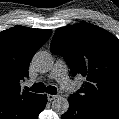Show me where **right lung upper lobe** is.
<instances>
[{"label": "right lung upper lobe", "instance_id": "obj_1", "mask_svg": "<svg viewBox=\"0 0 119 119\" xmlns=\"http://www.w3.org/2000/svg\"><path fill=\"white\" fill-rule=\"evenodd\" d=\"M51 29L15 26L0 32V119H30L42 95L21 90L20 81Z\"/></svg>", "mask_w": 119, "mask_h": 119}]
</instances>
